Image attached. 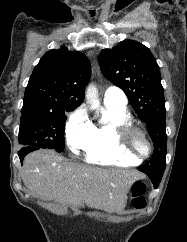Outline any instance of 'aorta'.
<instances>
[{
	"mask_svg": "<svg viewBox=\"0 0 187 242\" xmlns=\"http://www.w3.org/2000/svg\"><path fill=\"white\" fill-rule=\"evenodd\" d=\"M85 98L92 109L98 110L100 108V101L98 98V89L96 85L89 84L85 91Z\"/></svg>",
	"mask_w": 187,
	"mask_h": 242,
	"instance_id": "obj_1",
	"label": "aorta"
}]
</instances>
